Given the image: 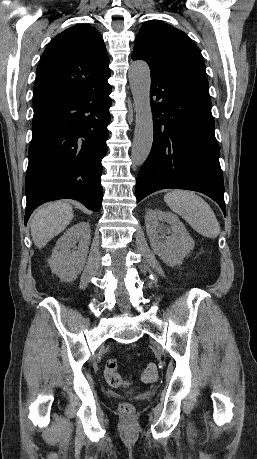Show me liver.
<instances>
[{
	"mask_svg": "<svg viewBox=\"0 0 257 459\" xmlns=\"http://www.w3.org/2000/svg\"><path fill=\"white\" fill-rule=\"evenodd\" d=\"M73 209L66 201L49 203L36 210L30 222L31 236L36 247L43 248L71 222Z\"/></svg>",
	"mask_w": 257,
	"mask_h": 459,
	"instance_id": "liver-1",
	"label": "liver"
}]
</instances>
